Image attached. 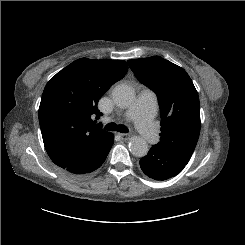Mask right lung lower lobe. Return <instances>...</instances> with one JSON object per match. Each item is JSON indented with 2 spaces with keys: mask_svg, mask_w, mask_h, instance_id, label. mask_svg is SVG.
<instances>
[{
  "mask_svg": "<svg viewBox=\"0 0 245 245\" xmlns=\"http://www.w3.org/2000/svg\"><path fill=\"white\" fill-rule=\"evenodd\" d=\"M113 142V134L108 133L98 140L79 161L64 169L74 176L88 175L103 164Z\"/></svg>",
  "mask_w": 245,
  "mask_h": 245,
  "instance_id": "98d812e1",
  "label": "right lung lower lobe"
}]
</instances>
